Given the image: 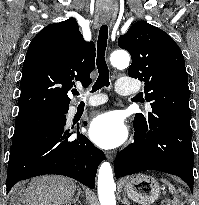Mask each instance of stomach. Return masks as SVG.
<instances>
[{
    "label": "stomach",
    "mask_w": 199,
    "mask_h": 205,
    "mask_svg": "<svg viewBox=\"0 0 199 205\" xmlns=\"http://www.w3.org/2000/svg\"><path fill=\"white\" fill-rule=\"evenodd\" d=\"M123 185L128 197L142 205L153 204L158 200L161 192L157 180L142 173L127 177Z\"/></svg>",
    "instance_id": "stomach-1"
}]
</instances>
